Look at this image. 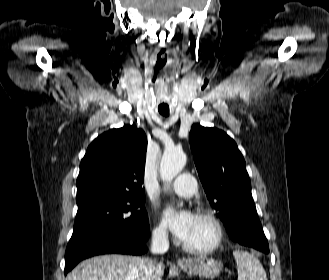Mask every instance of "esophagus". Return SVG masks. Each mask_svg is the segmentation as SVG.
<instances>
[{"instance_id": "obj_1", "label": "esophagus", "mask_w": 329, "mask_h": 280, "mask_svg": "<svg viewBox=\"0 0 329 280\" xmlns=\"http://www.w3.org/2000/svg\"><path fill=\"white\" fill-rule=\"evenodd\" d=\"M177 263L179 265H185V264H188V260L186 258H181V259H178Z\"/></svg>"}]
</instances>
